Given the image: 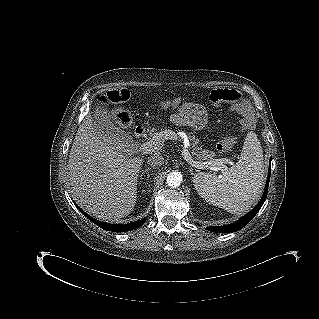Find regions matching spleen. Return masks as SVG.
I'll list each match as a JSON object with an SVG mask.
<instances>
[{
	"instance_id": "1",
	"label": "spleen",
	"mask_w": 319,
	"mask_h": 319,
	"mask_svg": "<svg viewBox=\"0 0 319 319\" xmlns=\"http://www.w3.org/2000/svg\"><path fill=\"white\" fill-rule=\"evenodd\" d=\"M263 151L257 135L248 132L239 161L223 175L199 172L193 177L195 189L210 204L240 213L257 199L264 182Z\"/></svg>"
}]
</instances>
